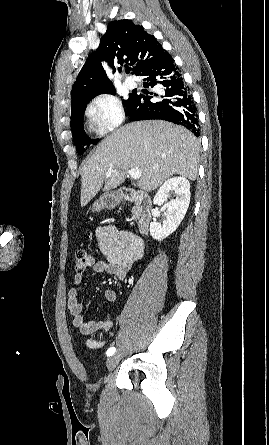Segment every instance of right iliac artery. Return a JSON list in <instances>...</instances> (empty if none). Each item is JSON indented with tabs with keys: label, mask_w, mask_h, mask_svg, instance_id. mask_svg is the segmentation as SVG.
Here are the masks:
<instances>
[{
	"label": "right iliac artery",
	"mask_w": 269,
	"mask_h": 445,
	"mask_svg": "<svg viewBox=\"0 0 269 445\" xmlns=\"http://www.w3.org/2000/svg\"><path fill=\"white\" fill-rule=\"evenodd\" d=\"M115 351H116L115 347H111L107 350L106 355L111 356L115 353Z\"/></svg>",
	"instance_id": "82829eb1"
}]
</instances>
